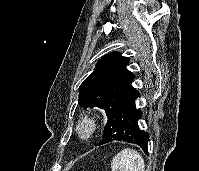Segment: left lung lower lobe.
Masks as SVG:
<instances>
[{
	"label": "left lung lower lobe",
	"instance_id": "left-lung-lower-lobe-1",
	"mask_svg": "<svg viewBox=\"0 0 199 171\" xmlns=\"http://www.w3.org/2000/svg\"><path fill=\"white\" fill-rule=\"evenodd\" d=\"M139 92L135 90L125 99L115 111L108 117L107 124L103 131V139L97 144L102 145L114 140L138 144L147 152L148 133L140 130L138 120L142 111L136 109L135 100Z\"/></svg>",
	"mask_w": 199,
	"mask_h": 171
}]
</instances>
